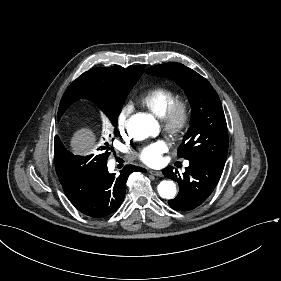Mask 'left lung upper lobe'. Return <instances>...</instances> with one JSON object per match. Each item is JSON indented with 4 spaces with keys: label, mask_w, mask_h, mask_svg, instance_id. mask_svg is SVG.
I'll use <instances>...</instances> for the list:
<instances>
[{
    "label": "left lung upper lobe",
    "mask_w": 281,
    "mask_h": 281,
    "mask_svg": "<svg viewBox=\"0 0 281 281\" xmlns=\"http://www.w3.org/2000/svg\"><path fill=\"white\" fill-rule=\"evenodd\" d=\"M146 73L175 80L185 90L191 104V124L178 156L201 160L223 171L228 131L220 99L212 85L197 72L175 62L147 68Z\"/></svg>",
    "instance_id": "5c2ea615"
}]
</instances>
